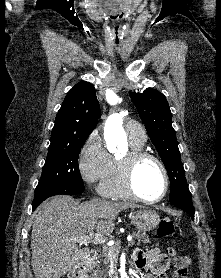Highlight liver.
Wrapping results in <instances>:
<instances>
[{
    "label": "liver",
    "mask_w": 221,
    "mask_h": 278,
    "mask_svg": "<svg viewBox=\"0 0 221 278\" xmlns=\"http://www.w3.org/2000/svg\"><path fill=\"white\" fill-rule=\"evenodd\" d=\"M129 202L93 199L80 205L71 197L55 196L34 212L31 266L36 278H61L84 260L88 248L77 240L96 230L102 236L114 230L122 211L137 208Z\"/></svg>",
    "instance_id": "liver-1"
}]
</instances>
